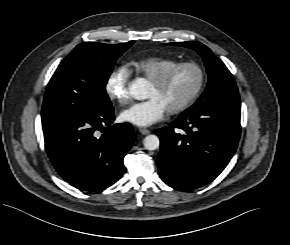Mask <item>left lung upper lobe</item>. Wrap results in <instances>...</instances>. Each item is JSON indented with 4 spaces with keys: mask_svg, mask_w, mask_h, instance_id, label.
Returning a JSON list of instances; mask_svg holds the SVG:
<instances>
[{
    "mask_svg": "<svg viewBox=\"0 0 290 245\" xmlns=\"http://www.w3.org/2000/svg\"><path fill=\"white\" fill-rule=\"evenodd\" d=\"M167 45L191 48L197 51L204 61L208 73L207 89L192 107H199L207 104L240 107L238 88L231 72L207 46L195 41L175 42L168 43Z\"/></svg>",
    "mask_w": 290,
    "mask_h": 245,
    "instance_id": "5c2ea615",
    "label": "left lung upper lobe"
}]
</instances>
